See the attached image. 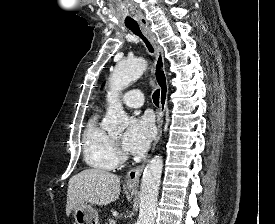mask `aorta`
Segmentation results:
<instances>
[{
    "label": "aorta",
    "instance_id": "1",
    "mask_svg": "<svg viewBox=\"0 0 275 224\" xmlns=\"http://www.w3.org/2000/svg\"><path fill=\"white\" fill-rule=\"evenodd\" d=\"M147 61L143 58L119 61L110 77V93L107 97L109 106L102 127L108 132H121L128 125L119 94L137 80L145 71ZM163 169L161 156L152 158L144 169L140 187L139 221L137 224H154L157 197Z\"/></svg>",
    "mask_w": 275,
    "mask_h": 224
}]
</instances>
